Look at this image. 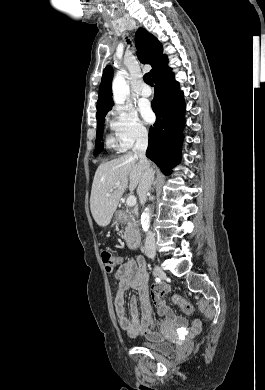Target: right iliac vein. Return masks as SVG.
Here are the masks:
<instances>
[{
	"label": "right iliac vein",
	"mask_w": 265,
	"mask_h": 390,
	"mask_svg": "<svg viewBox=\"0 0 265 390\" xmlns=\"http://www.w3.org/2000/svg\"><path fill=\"white\" fill-rule=\"evenodd\" d=\"M153 273H154L155 276H157V277H159L161 279L166 278V273L159 266H155Z\"/></svg>",
	"instance_id": "right-iliac-vein-1"
}]
</instances>
